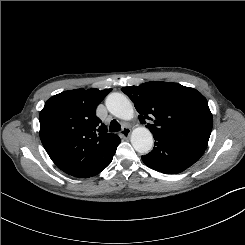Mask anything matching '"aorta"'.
Segmentation results:
<instances>
[{"instance_id": "aorta-1", "label": "aorta", "mask_w": 245, "mask_h": 245, "mask_svg": "<svg viewBox=\"0 0 245 245\" xmlns=\"http://www.w3.org/2000/svg\"><path fill=\"white\" fill-rule=\"evenodd\" d=\"M105 104L108 111L119 119L130 120L133 117V106L121 93L109 94ZM131 143L138 153H148L153 147V136L147 128L138 127L132 132Z\"/></svg>"}]
</instances>
